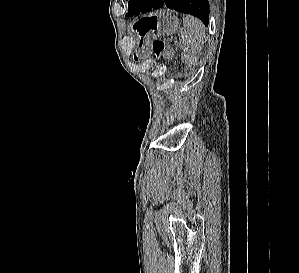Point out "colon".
<instances>
[{"instance_id":"colon-1","label":"colon","mask_w":299,"mask_h":273,"mask_svg":"<svg viewBox=\"0 0 299 273\" xmlns=\"http://www.w3.org/2000/svg\"><path fill=\"white\" fill-rule=\"evenodd\" d=\"M154 49L159 57L169 58L171 56V51L164 41H156Z\"/></svg>"}]
</instances>
